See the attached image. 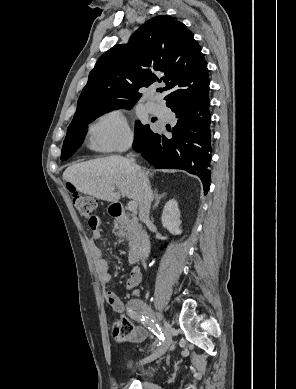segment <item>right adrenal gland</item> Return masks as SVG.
Returning a JSON list of instances; mask_svg holds the SVG:
<instances>
[{"mask_svg": "<svg viewBox=\"0 0 296 389\" xmlns=\"http://www.w3.org/2000/svg\"><path fill=\"white\" fill-rule=\"evenodd\" d=\"M166 195H167V193L158 194V190L155 189V191H154L155 203H154V205H153V210H155V209L158 207V205H159V203H160V200H161L162 198H164Z\"/></svg>", "mask_w": 296, "mask_h": 389, "instance_id": "2a0ac1e0", "label": "right adrenal gland"}]
</instances>
